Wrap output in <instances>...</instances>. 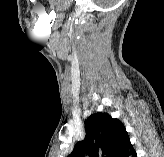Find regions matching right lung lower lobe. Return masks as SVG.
Here are the masks:
<instances>
[{"instance_id": "obj_1", "label": "right lung lower lobe", "mask_w": 164, "mask_h": 157, "mask_svg": "<svg viewBox=\"0 0 164 157\" xmlns=\"http://www.w3.org/2000/svg\"><path fill=\"white\" fill-rule=\"evenodd\" d=\"M117 157H137L130 140L124 145Z\"/></svg>"}]
</instances>
